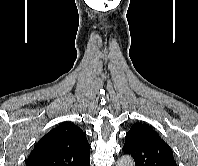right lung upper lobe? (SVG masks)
<instances>
[{"label": "right lung upper lobe", "instance_id": "1", "mask_svg": "<svg viewBox=\"0 0 198 166\" xmlns=\"http://www.w3.org/2000/svg\"><path fill=\"white\" fill-rule=\"evenodd\" d=\"M26 166H90V145L75 124L64 122L43 136Z\"/></svg>", "mask_w": 198, "mask_h": 166}]
</instances>
